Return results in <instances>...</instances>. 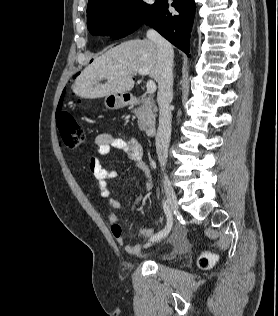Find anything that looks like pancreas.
Here are the masks:
<instances>
[{
    "label": "pancreas",
    "instance_id": "cf45deb5",
    "mask_svg": "<svg viewBox=\"0 0 278 316\" xmlns=\"http://www.w3.org/2000/svg\"><path fill=\"white\" fill-rule=\"evenodd\" d=\"M133 112L138 118V126L141 131H146L155 125L157 108L149 97L144 98L143 105L134 109Z\"/></svg>",
    "mask_w": 278,
    "mask_h": 316
}]
</instances>
